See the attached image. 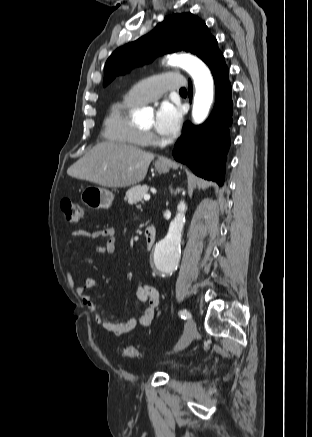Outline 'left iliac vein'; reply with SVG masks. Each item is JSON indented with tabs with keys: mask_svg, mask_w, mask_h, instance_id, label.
<instances>
[{
	"mask_svg": "<svg viewBox=\"0 0 312 437\" xmlns=\"http://www.w3.org/2000/svg\"><path fill=\"white\" fill-rule=\"evenodd\" d=\"M197 333L196 323L194 318L189 319L183 337L175 347V351L186 348L193 340Z\"/></svg>",
	"mask_w": 312,
	"mask_h": 437,
	"instance_id": "left-iliac-vein-1",
	"label": "left iliac vein"
}]
</instances>
